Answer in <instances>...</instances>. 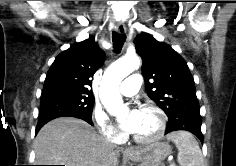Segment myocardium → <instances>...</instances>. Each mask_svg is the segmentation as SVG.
Wrapping results in <instances>:
<instances>
[{"mask_svg":"<svg viewBox=\"0 0 236 166\" xmlns=\"http://www.w3.org/2000/svg\"><path fill=\"white\" fill-rule=\"evenodd\" d=\"M140 110L142 111H146V110H151L154 111L158 117V128L156 130V132L154 134H152L151 136L148 137H139L136 135H133V140L137 143L140 144H150L153 143L157 140H159L166 129V115L164 113V111L155 103L152 102H145L143 104L140 105Z\"/></svg>","mask_w":236,"mask_h":166,"instance_id":"f54148a6","label":"myocardium"}]
</instances>
